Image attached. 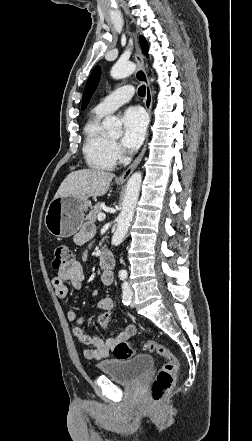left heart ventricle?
I'll return each instance as SVG.
<instances>
[{"label": "left heart ventricle", "mask_w": 252, "mask_h": 441, "mask_svg": "<svg viewBox=\"0 0 252 441\" xmlns=\"http://www.w3.org/2000/svg\"><path fill=\"white\" fill-rule=\"evenodd\" d=\"M113 139H116L117 138V136H114V137H112Z\"/></svg>", "instance_id": "left-heart-ventricle-1"}]
</instances>
